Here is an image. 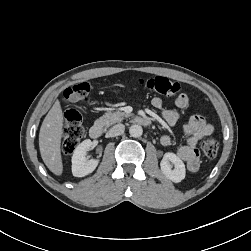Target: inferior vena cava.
Wrapping results in <instances>:
<instances>
[{"instance_id": "obj_1", "label": "inferior vena cava", "mask_w": 251, "mask_h": 251, "mask_svg": "<svg viewBox=\"0 0 251 251\" xmlns=\"http://www.w3.org/2000/svg\"><path fill=\"white\" fill-rule=\"evenodd\" d=\"M124 130H125V126L123 124H117L111 127L107 134L110 137H115V136H119L123 134Z\"/></svg>"}]
</instances>
